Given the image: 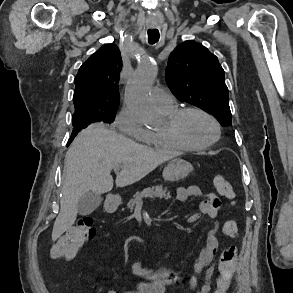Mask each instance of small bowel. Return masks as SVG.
<instances>
[{
  "instance_id": "1",
  "label": "small bowel",
  "mask_w": 293,
  "mask_h": 293,
  "mask_svg": "<svg viewBox=\"0 0 293 293\" xmlns=\"http://www.w3.org/2000/svg\"><path fill=\"white\" fill-rule=\"evenodd\" d=\"M201 197L203 200L199 205V211L188 216L189 223H195L201 215H207L214 220L213 228L207 233L205 245L201 249L198 258L194 263L196 273L204 272L203 283L198 290V280L192 277L189 286L194 293H210L212 280L215 274V267L212 265L214 256L219 248L218 231L220 228L219 211L221 201L214 192H205L198 186L180 187L176 190V199L186 202L190 198ZM133 274L138 278L136 284L121 291V293H167L168 288L176 282L177 275L169 269L150 270L143 268L140 263L132 267ZM104 293H117L107 289Z\"/></svg>"
}]
</instances>
